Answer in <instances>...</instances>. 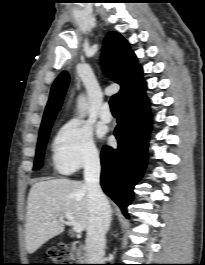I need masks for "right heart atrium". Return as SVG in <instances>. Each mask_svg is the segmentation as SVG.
Returning <instances> with one entry per match:
<instances>
[{"label": "right heart atrium", "instance_id": "d8ad5b80", "mask_svg": "<svg viewBox=\"0 0 205 265\" xmlns=\"http://www.w3.org/2000/svg\"><path fill=\"white\" fill-rule=\"evenodd\" d=\"M52 159L54 168L63 174L96 165L99 153L91 129L78 119L66 122L54 139Z\"/></svg>", "mask_w": 205, "mask_h": 265}]
</instances>
